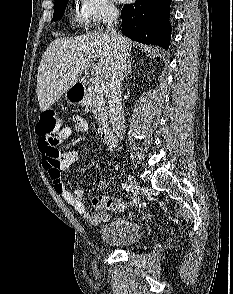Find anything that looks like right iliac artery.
<instances>
[{"label":"right iliac artery","instance_id":"1","mask_svg":"<svg viewBox=\"0 0 233 294\" xmlns=\"http://www.w3.org/2000/svg\"><path fill=\"white\" fill-rule=\"evenodd\" d=\"M122 188H123L124 190H126L127 192H129V191L133 192L132 187H131L130 185H128L127 183H123V184H122Z\"/></svg>","mask_w":233,"mask_h":294}]
</instances>
